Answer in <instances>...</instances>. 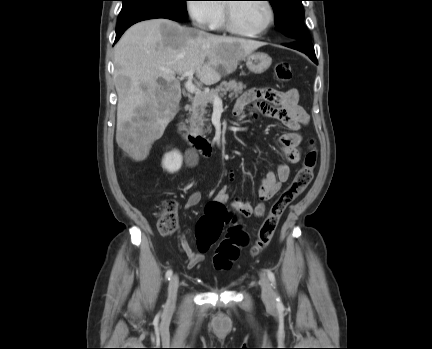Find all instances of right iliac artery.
<instances>
[{
    "label": "right iliac artery",
    "instance_id": "82829eb1",
    "mask_svg": "<svg viewBox=\"0 0 432 349\" xmlns=\"http://www.w3.org/2000/svg\"><path fill=\"white\" fill-rule=\"evenodd\" d=\"M172 270L171 269H169L167 272H166V279L167 280H170V278H171V276H172Z\"/></svg>",
    "mask_w": 432,
    "mask_h": 349
}]
</instances>
